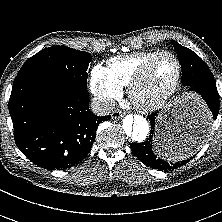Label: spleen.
Here are the masks:
<instances>
[{
	"label": "spleen",
	"instance_id": "1",
	"mask_svg": "<svg viewBox=\"0 0 222 222\" xmlns=\"http://www.w3.org/2000/svg\"><path fill=\"white\" fill-rule=\"evenodd\" d=\"M154 150L156 152H158V154L160 156H163L164 158H167L168 160L177 161V160H180V159H182L184 157V156L171 157L167 153H162L160 148H159V146H158V144L154 145Z\"/></svg>",
	"mask_w": 222,
	"mask_h": 222
}]
</instances>
